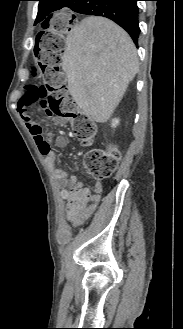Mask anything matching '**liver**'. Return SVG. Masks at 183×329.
I'll use <instances>...</instances> for the list:
<instances>
[{"mask_svg":"<svg viewBox=\"0 0 183 329\" xmlns=\"http://www.w3.org/2000/svg\"><path fill=\"white\" fill-rule=\"evenodd\" d=\"M62 69L78 107L106 122L139 70L136 47L114 22L87 17L67 35Z\"/></svg>","mask_w":183,"mask_h":329,"instance_id":"1","label":"liver"}]
</instances>
